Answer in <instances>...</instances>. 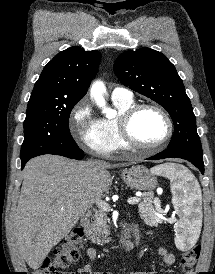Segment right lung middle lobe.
<instances>
[{
  "label": "right lung middle lobe",
  "instance_id": "dd1d6c3e",
  "mask_svg": "<svg viewBox=\"0 0 215 274\" xmlns=\"http://www.w3.org/2000/svg\"><path fill=\"white\" fill-rule=\"evenodd\" d=\"M76 103H28L21 159L78 147L69 130V116Z\"/></svg>",
  "mask_w": 215,
  "mask_h": 274
}]
</instances>
